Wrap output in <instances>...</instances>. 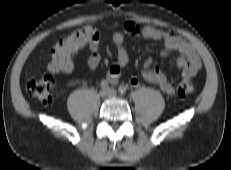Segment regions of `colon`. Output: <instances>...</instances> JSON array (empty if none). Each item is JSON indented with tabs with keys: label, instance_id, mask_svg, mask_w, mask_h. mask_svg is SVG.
I'll use <instances>...</instances> for the list:
<instances>
[{
	"label": "colon",
	"instance_id": "1",
	"mask_svg": "<svg viewBox=\"0 0 231 170\" xmlns=\"http://www.w3.org/2000/svg\"><path fill=\"white\" fill-rule=\"evenodd\" d=\"M98 37V29L94 26H85L71 32L54 46L48 65L49 72L57 74L69 71L72 67V55ZM54 87L55 80L50 75L30 80L26 86L29 95L45 105L52 102ZM194 91V84L189 79L182 80L176 88L177 95L180 97L189 96Z\"/></svg>",
	"mask_w": 231,
	"mask_h": 170
}]
</instances>
